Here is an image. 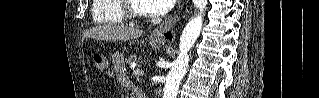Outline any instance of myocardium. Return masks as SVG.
<instances>
[{"label":"myocardium","instance_id":"myocardium-1","mask_svg":"<svg viewBox=\"0 0 319 98\" xmlns=\"http://www.w3.org/2000/svg\"><path fill=\"white\" fill-rule=\"evenodd\" d=\"M121 7L126 19L139 20L146 17V13L136 9L131 0H122Z\"/></svg>","mask_w":319,"mask_h":98}]
</instances>
